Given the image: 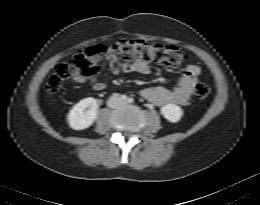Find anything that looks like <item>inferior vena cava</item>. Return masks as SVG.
Returning <instances> with one entry per match:
<instances>
[{"mask_svg":"<svg viewBox=\"0 0 260 205\" xmlns=\"http://www.w3.org/2000/svg\"><path fill=\"white\" fill-rule=\"evenodd\" d=\"M121 104V99L119 97H111L108 100V106L110 108H116L117 106H119Z\"/></svg>","mask_w":260,"mask_h":205,"instance_id":"obj_1","label":"inferior vena cava"}]
</instances>
